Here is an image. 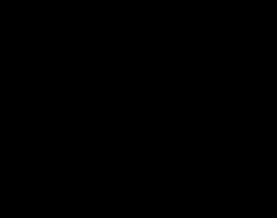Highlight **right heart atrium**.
<instances>
[{
	"label": "right heart atrium",
	"instance_id": "d8ad5b80",
	"mask_svg": "<svg viewBox=\"0 0 277 218\" xmlns=\"http://www.w3.org/2000/svg\"><path fill=\"white\" fill-rule=\"evenodd\" d=\"M110 91H111L112 97H114V96H115V88H114V87H111V88H110Z\"/></svg>",
	"mask_w": 277,
	"mask_h": 218
}]
</instances>
